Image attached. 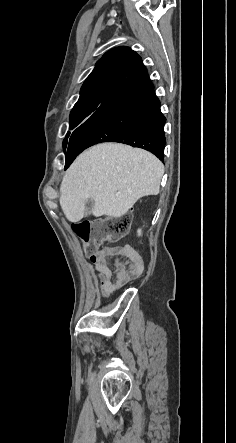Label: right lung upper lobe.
Here are the masks:
<instances>
[{"mask_svg": "<svg viewBox=\"0 0 236 443\" xmlns=\"http://www.w3.org/2000/svg\"><path fill=\"white\" fill-rule=\"evenodd\" d=\"M147 73L141 57L129 47H116L96 63L82 85L77 104L99 96H111L136 83Z\"/></svg>", "mask_w": 236, "mask_h": 443, "instance_id": "1", "label": "right lung upper lobe"}]
</instances>
